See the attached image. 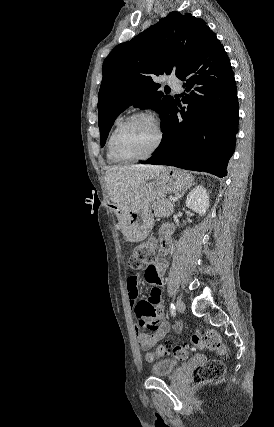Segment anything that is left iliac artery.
Returning a JSON list of instances; mask_svg holds the SVG:
<instances>
[{"mask_svg": "<svg viewBox=\"0 0 274 427\" xmlns=\"http://www.w3.org/2000/svg\"><path fill=\"white\" fill-rule=\"evenodd\" d=\"M170 313L172 316L176 315L175 305L173 303L170 304Z\"/></svg>", "mask_w": 274, "mask_h": 427, "instance_id": "left-iliac-artery-1", "label": "left iliac artery"}]
</instances>
